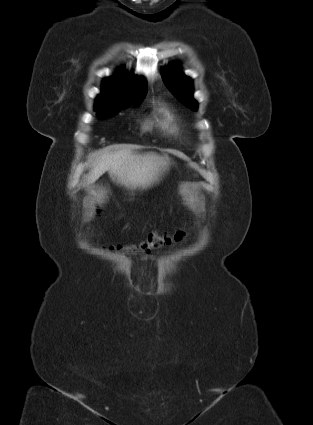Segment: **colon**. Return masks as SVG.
Returning a JSON list of instances; mask_svg holds the SVG:
<instances>
[{"instance_id":"obj_1","label":"colon","mask_w":313,"mask_h":425,"mask_svg":"<svg viewBox=\"0 0 313 425\" xmlns=\"http://www.w3.org/2000/svg\"><path fill=\"white\" fill-rule=\"evenodd\" d=\"M182 236V232H177L174 235L159 234L157 232L151 233L148 238L142 241L138 245L131 246H113L112 249H116L124 252H143L149 253L153 250H157L163 246L170 244L173 240H177Z\"/></svg>"}]
</instances>
